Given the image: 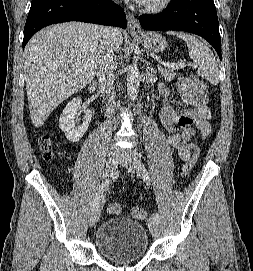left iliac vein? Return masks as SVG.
I'll return each mask as SVG.
<instances>
[{
    "mask_svg": "<svg viewBox=\"0 0 253 271\" xmlns=\"http://www.w3.org/2000/svg\"><path fill=\"white\" fill-rule=\"evenodd\" d=\"M140 159V155L134 150L122 153V163L132 174L137 171ZM149 229L154 237H158L160 235L159 222L154 220L153 217L149 219Z\"/></svg>",
    "mask_w": 253,
    "mask_h": 271,
    "instance_id": "left-iliac-vein-1",
    "label": "left iliac vein"
}]
</instances>
